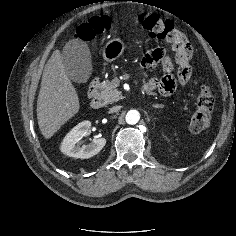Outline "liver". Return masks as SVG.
Instances as JSON below:
<instances>
[{"instance_id": "6515ba94", "label": "liver", "mask_w": 236, "mask_h": 236, "mask_svg": "<svg viewBox=\"0 0 236 236\" xmlns=\"http://www.w3.org/2000/svg\"><path fill=\"white\" fill-rule=\"evenodd\" d=\"M79 108L78 94L56 49L45 65L37 100V120L44 138H51Z\"/></svg>"}]
</instances>
